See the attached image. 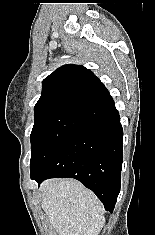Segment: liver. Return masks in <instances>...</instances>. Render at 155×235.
Listing matches in <instances>:
<instances>
[{
    "label": "liver",
    "mask_w": 155,
    "mask_h": 235,
    "mask_svg": "<svg viewBox=\"0 0 155 235\" xmlns=\"http://www.w3.org/2000/svg\"><path fill=\"white\" fill-rule=\"evenodd\" d=\"M41 206L59 235H98L105 224L93 192L73 179H50L39 188Z\"/></svg>",
    "instance_id": "liver-1"
}]
</instances>
